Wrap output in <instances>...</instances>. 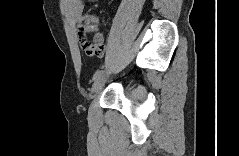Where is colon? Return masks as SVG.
Returning <instances> with one entry per match:
<instances>
[{"label":"colon","mask_w":239,"mask_h":156,"mask_svg":"<svg viewBox=\"0 0 239 156\" xmlns=\"http://www.w3.org/2000/svg\"><path fill=\"white\" fill-rule=\"evenodd\" d=\"M95 29H96V21L93 17H89L84 23H81L79 25L78 33L84 35L85 37V39L82 41V48L84 51L88 53H92L97 49L96 45L90 42L86 37V33L94 32ZM100 40H101L100 35L96 34L95 35L96 43L99 42Z\"/></svg>","instance_id":"colon-1"}]
</instances>
